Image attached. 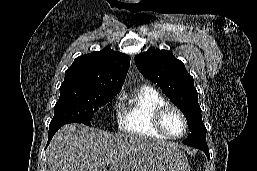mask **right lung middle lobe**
<instances>
[{
	"label": "right lung middle lobe",
	"instance_id": "dd1d6c3e",
	"mask_svg": "<svg viewBox=\"0 0 257 171\" xmlns=\"http://www.w3.org/2000/svg\"><path fill=\"white\" fill-rule=\"evenodd\" d=\"M117 91L83 86L60 88V97L55 105L50 125L83 123L90 125L92 114L111 101Z\"/></svg>",
	"mask_w": 257,
	"mask_h": 171
}]
</instances>
